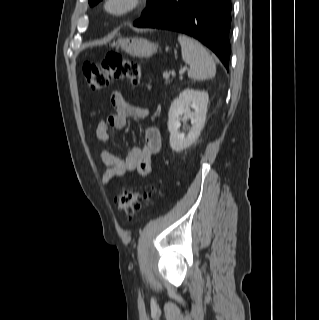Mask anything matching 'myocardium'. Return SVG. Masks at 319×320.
Here are the masks:
<instances>
[{
  "label": "myocardium",
  "mask_w": 319,
  "mask_h": 320,
  "mask_svg": "<svg viewBox=\"0 0 319 320\" xmlns=\"http://www.w3.org/2000/svg\"><path fill=\"white\" fill-rule=\"evenodd\" d=\"M149 5V0H105L104 10L114 19H124Z\"/></svg>",
  "instance_id": "f54148a6"
}]
</instances>
